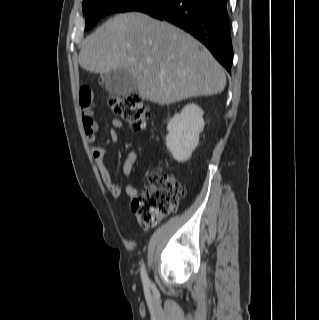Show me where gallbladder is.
Returning a JSON list of instances; mask_svg holds the SVG:
<instances>
[{"label": "gallbladder", "instance_id": "obj_1", "mask_svg": "<svg viewBox=\"0 0 319 320\" xmlns=\"http://www.w3.org/2000/svg\"><path fill=\"white\" fill-rule=\"evenodd\" d=\"M104 85L109 93L118 96H128L137 91L135 79L125 69L111 71L106 74Z\"/></svg>", "mask_w": 319, "mask_h": 320}]
</instances>
